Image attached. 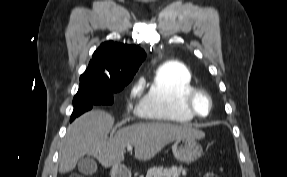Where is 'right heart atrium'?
<instances>
[{
    "label": "right heart atrium",
    "instance_id": "obj_1",
    "mask_svg": "<svg viewBox=\"0 0 287 177\" xmlns=\"http://www.w3.org/2000/svg\"><path fill=\"white\" fill-rule=\"evenodd\" d=\"M142 90H143V83L141 80H139L130 89L129 93L130 99L134 100L138 98L141 95Z\"/></svg>",
    "mask_w": 287,
    "mask_h": 177
}]
</instances>
